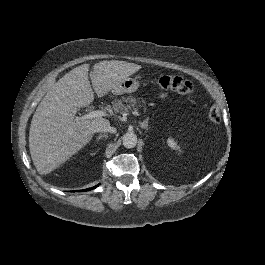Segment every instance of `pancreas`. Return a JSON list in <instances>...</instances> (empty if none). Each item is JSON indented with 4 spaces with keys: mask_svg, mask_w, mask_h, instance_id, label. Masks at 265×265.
<instances>
[{
    "mask_svg": "<svg viewBox=\"0 0 265 265\" xmlns=\"http://www.w3.org/2000/svg\"><path fill=\"white\" fill-rule=\"evenodd\" d=\"M126 103L127 106H125L123 103ZM139 104V101L134 97H122V98H115L112 102L113 111L115 113H125L127 112V108H133L134 110H137L136 105Z\"/></svg>",
    "mask_w": 265,
    "mask_h": 265,
    "instance_id": "obj_1",
    "label": "pancreas"
}]
</instances>
